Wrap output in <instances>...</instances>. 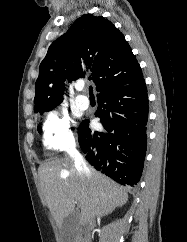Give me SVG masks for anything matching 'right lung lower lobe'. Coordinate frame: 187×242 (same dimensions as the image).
Returning <instances> with one entry per match:
<instances>
[{"mask_svg": "<svg viewBox=\"0 0 187 242\" xmlns=\"http://www.w3.org/2000/svg\"><path fill=\"white\" fill-rule=\"evenodd\" d=\"M95 116L106 132H91L89 120L78 128L87 161L122 185L140 180L147 148L148 96L143 75L97 95Z\"/></svg>", "mask_w": 187, "mask_h": 242, "instance_id": "98d812e1", "label": "right lung lower lobe"}]
</instances>
